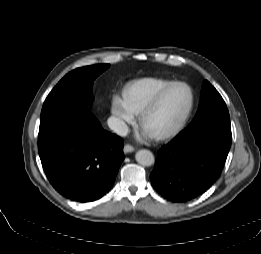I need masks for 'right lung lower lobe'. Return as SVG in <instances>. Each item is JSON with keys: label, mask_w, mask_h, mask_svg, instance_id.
Masks as SVG:
<instances>
[{"label": "right lung lower lobe", "mask_w": 261, "mask_h": 254, "mask_svg": "<svg viewBox=\"0 0 261 254\" xmlns=\"http://www.w3.org/2000/svg\"><path fill=\"white\" fill-rule=\"evenodd\" d=\"M38 151L52 186L79 202L108 192L125 158L122 138L102 129L80 99L43 104Z\"/></svg>", "instance_id": "obj_1"}]
</instances>
